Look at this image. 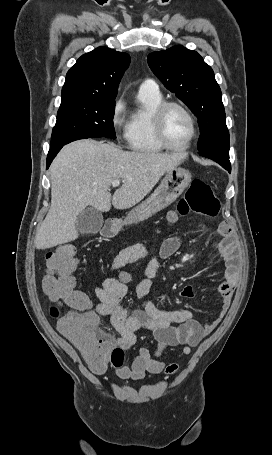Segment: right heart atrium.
I'll list each match as a JSON object with an SVG mask.
<instances>
[{"instance_id": "obj_1", "label": "right heart atrium", "mask_w": 272, "mask_h": 455, "mask_svg": "<svg viewBox=\"0 0 272 455\" xmlns=\"http://www.w3.org/2000/svg\"><path fill=\"white\" fill-rule=\"evenodd\" d=\"M125 104L121 99H118L112 109L111 124L116 131L123 130L126 137L127 123L124 120Z\"/></svg>"}]
</instances>
